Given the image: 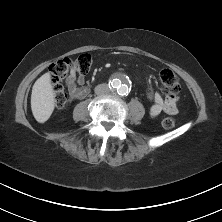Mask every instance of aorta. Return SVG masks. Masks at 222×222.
Here are the masks:
<instances>
[{
    "label": "aorta",
    "mask_w": 222,
    "mask_h": 222,
    "mask_svg": "<svg viewBox=\"0 0 222 222\" xmlns=\"http://www.w3.org/2000/svg\"><path fill=\"white\" fill-rule=\"evenodd\" d=\"M110 83L112 90L119 95H127L130 91V83L125 75L112 79Z\"/></svg>",
    "instance_id": "obj_1"
}]
</instances>
